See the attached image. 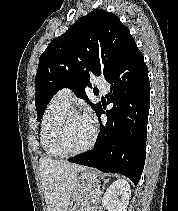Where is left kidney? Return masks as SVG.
Listing matches in <instances>:
<instances>
[{
    "instance_id": "1",
    "label": "left kidney",
    "mask_w": 178,
    "mask_h": 211,
    "mask_svg": "<svg viewBox=\"0 0 178 211\" xmlns=\"http://www.w3.org/2000/svg\"><path fill=\"white\" fill-rule=\"evenodd\" d=\"M130 196L129 183L125 179H118L104 193L102 206L108 211H127Z\"/></svg>"
}]
</instances>
